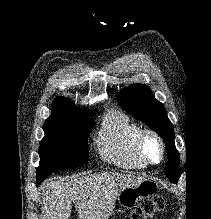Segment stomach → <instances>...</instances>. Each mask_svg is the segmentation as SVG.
I'll use <instances>...</instances> for the list:
<instances>
[{
  "label": "stomach",
  "mask_w": 211,
  "mask_h": 219,
  "mask_svg": "<svg viewBox=\"0 0 211 219\" xmlns=\"http://www.w3.org/2000/svg\"><path fill=\"white\" fill-rule=\"evenodd\" d=\"M157 190V183L150 180H144L140 184L128 187L120 192L117 196V201L123 208H133L140 200L150 197L157 192Z\"/></svg>",
  "instance_id": "0dacf381"
}]
</instances>
